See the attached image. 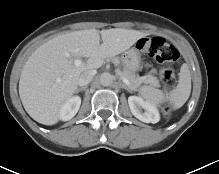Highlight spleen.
Instances as JSON below:
<instances>
[{
	"label": "spleen",
	"instance_id": "spleen-1",
	"mask_svg": "<svg viewBox=\"0 0 219 174\" xmlns=\"http://www.w3.org/2000/svg\"><path fill=\"white\" fill-rule=\"evenodd\" d=\"M191 92V75L187 64H183L180 70L179 83L168 95L152 86H142L139 89L140 96L153 105H160L169 101L174 109H178L188 100Z\"/></svg>",
	"mask_w": 219,
	"mask_h": 174
}]
</instances>
